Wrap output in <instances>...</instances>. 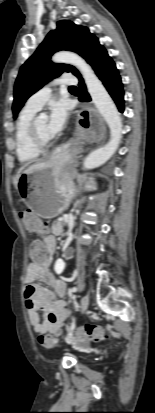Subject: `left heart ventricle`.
<instances>
[{
  "mask_svg": "<svg viewBox=\"0 0 155 413\" xmlns=\"http://www.w3.org/2000/svg\"><path fill=\"white\" fill-rule=\"evenodd\" d=\"M36 128L40 137L44 140L51 139L47 132V121L46 120H37Z\"/></svg>",
  "mask_w": 155,
  "mask_h": 413,
  "instance_id": "obj_1",
  "label": "left heart ventricle"
}]
</instances>
